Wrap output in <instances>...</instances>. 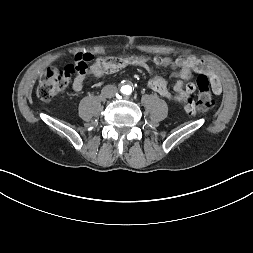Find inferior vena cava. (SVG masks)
<instances>
[{
	"mask_svg": "<svg viewBox=\"0 0 253 253\" xmlns=\"http://www.w3.org/2000/svg\"><path fill=\"white\" fill-rule=\"evenodd\" d=\"M117 93L115 85H107L102 89V94L107 98H112Z\"/></svg>",
	"mask_w": 253,
	"mask_h": 253,
	"instance_id": "1",
	"label": "inferior vena cava"
}]
</instances>
